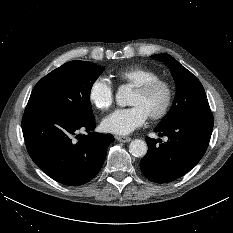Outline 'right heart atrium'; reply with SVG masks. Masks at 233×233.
<instances>
[{
    "instance_id": "1",
    "label": "right heart atrium",
    "mask_w": 233,
    "mask_h": 233,
    "mask_svg": "<svg viewBox=\"0 0 233 233\" xmlns=\"http://www.w3.org/2000/svg\"><path fill=\"white\" fill-rule=\"evenodd\" d=\"M88 98L97 110L106 111L110 109L114 102L112 83L104 77L96 78L90 85Z\"/></svg>"
}]
</instances>
